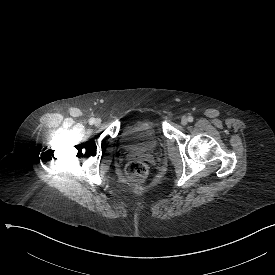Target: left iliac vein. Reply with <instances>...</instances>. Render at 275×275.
<instances>
[{"instance_id":"1","label":"left iliac vein","mask_w":275,"mask_h":275,"mask_svg":"<svg viewBox=\"0 0 275 275\" xmlns=\"http://www.w3.org/2000/svg\"><path fill=\"white\" fill-rule=\"evenodd\" d=\"M188 123V119L186 117H182L181 124L186 125Z\"/></svg>"}]
</instances>
